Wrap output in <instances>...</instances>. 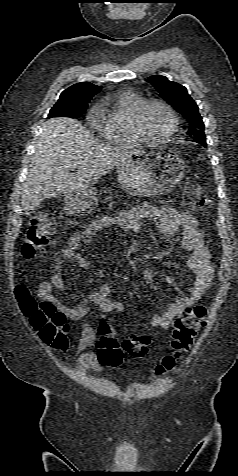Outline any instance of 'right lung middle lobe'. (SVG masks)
I'll use <instances>...</instances> for the list:
<instances>
[{
  "instance_id": "1",
  "label": "right lung middle lobe",
  "mask_w": 238,
  "mask_h": 476,
  "mask_svg": "<svg viewBox=\"0 0 238 476\" xmlns=\"http://www.w3.org/2000/svg\"><path fill=\"white\" fill-rule=\"evenodd\" d=\"M86 108L87 104H79L67 99H60L50 110L48 118L56 116L76 118L81 116Z\"/></svg>"
}]
</instances>
